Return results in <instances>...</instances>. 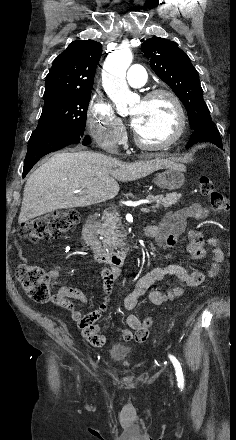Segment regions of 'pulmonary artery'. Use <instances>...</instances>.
Masks as SVG:
<instances>
[{
  "label": "pulmonary artery",
  "instance_id": "pulmonary-artery-1",
  "mask_svg": "<svg viewBox=\"0 0 236 440\" xmlns=\"http://www.w3.org/2000/svg\"><path fill=\"white\" fill-rule=\"evenodd\" d=\"M147 72L141 65H132L127 74V82L131 87H141L145 84Z\"/></svg>",
  "mask_w": 236,
  "mask_h": 440
}]
</instances>
